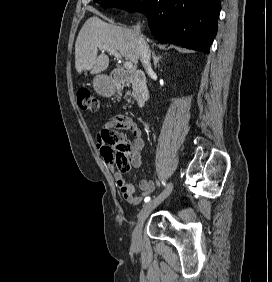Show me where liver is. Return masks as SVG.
<instances>
[{"label": "liver", "mask_w": 272, "mask_h": 282, "mask_svg": "<svg viewBox=\"0 0 272 282\" xmlns=\"http://www.w3.org/2000/svg\"><path fill=\"white\" fill-rule=\"evenodd\" d=\"M100 45L119 51L125 60L138 64L140 47L135 31L91 17L84 23L75 43V68L79 74L83 71L98 74L107 69L109 58L104 53L98 56Z\"/></svg>", "instance_id": "6515ba94"}]
</instances>
